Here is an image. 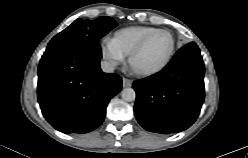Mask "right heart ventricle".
<instances>
[{
	"mask_svg": "<svg viewBox=\"0 0 248 158\" xmlns=\"http://www.w3.org/2000/svg\"><path fill=\"white\" fill-rule=\"evenodd\" d=\"M153 30L155 28L147 26L126 27L116 31L111 40L124 56H128L140 40Z\"/></svg>",
	"mask_w": 248,
	"mask_h": 158,
	"instance_id": "right-heart-ventricle-1",
	"label": "right heart ventricle"
}]
</instances>
